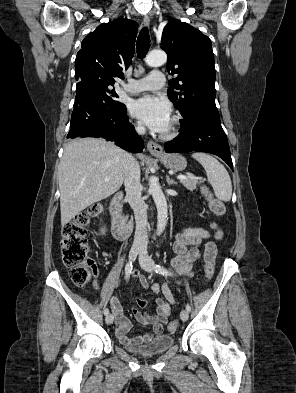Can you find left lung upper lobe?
Listing matches in <instances>:
<instances>
[{
  "label": "left lung upper lobe",
  "instance_id": "5c2ea615",
  "mask_svg": "<svg viewBox=\"0 0 296 393\" xmlns=\"http://www.w3.org/2000/svg\"><path fill=\"white\" fill-rule=\"evenodd\" d=\"M161 48L168 55V97L183 116L180 125L215 105V67L211 40L187 23L170 18L162 33Z\"/></svg>",
  "mask_w": 296,
  "mask_h": 393
}]
</instances>
